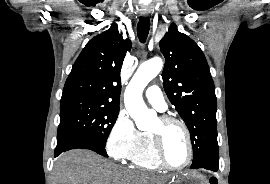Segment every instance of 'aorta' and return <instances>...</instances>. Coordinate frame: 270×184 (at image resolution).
<instances>
[{
    "mask_svg": "<svg viewBox=\"0 0 270 184\" xmlns=\"http://www.w3.org/2000/svg\"><path fill=\"white\" fill-rule=\"evenodd\" d=\"M162 66L163 61L159 57L142 63L126 87L125 107L140 130L149 129L157 118L156 112L145 105L142 93L148 83L159 74Z\"/></svg>",
    "mask_w": 270,
    "mask_h": 184,
    "instance_id": "aorta-1",
    "label": "aorta"
}]
</instances>
